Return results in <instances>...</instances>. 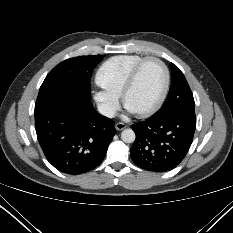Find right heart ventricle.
<instances>
[{
	"label": "right heart ventricle",
	"instance_id": "1",
	"mask_svg": "<svg viewBox=\"0 0 233 233\" xmlns=\"http://www.w3.org/2000/svg\"><path fill=\"white\" fill-rule=\"evenodd\" d=\"M144 57L141 55H118L107 59L98 69L97 83L104 89L121 95L133 67Z\"/></svg>",
	"mask_w": 233,
	"mask_h": 233
}]
</instances>
